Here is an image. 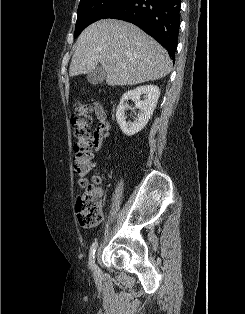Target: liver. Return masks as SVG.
<instances>
[{
    "instance_id": "liver-1",
    "label": "liver",
    "mask_w": 245,
    "mask_h": 314,
    "mask_svg": "<svg viewBox=\"0 0 245 314\" xmlns=\"http://www.w3.org/2000/svg\"><path fill=\"white\" fill-rule=\"evenodd\" d=\"M99 63L109 86L158 80L172 69L166 49L137 26L117 19L97 21L81 33L75 43L69 75L88 74Z\"/></svg>"
}]
</instances>
